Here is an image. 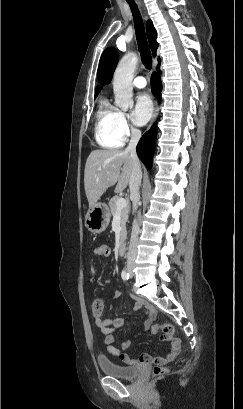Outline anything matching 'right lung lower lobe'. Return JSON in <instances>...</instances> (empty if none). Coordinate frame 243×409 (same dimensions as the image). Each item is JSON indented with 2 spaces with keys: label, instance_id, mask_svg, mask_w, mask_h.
I'll list each match as a JSON object with an SVG mask.
<instances>
[{
  "label": "right lung lower lobe",
  "instance_id": "98d812e1",
  "mask_svg": "<svg viewBox=\"0 0 243 409\" xmlns=\"http://www.w3.org/2000/svg\"><path fill=\"white\" fill-rule=\"evenodd\" d=\"M159 70V65L157 67ZM151 86H152V92L154 95L157 97H160L161 95V79L158 73L154 72L151 77ZM156 126H152V128L147 131L140 139L138 145H137V154L141 161L144 163V165L148 168L151 169L152 167V160H153V154L155 150V142H156Z\"/></svg>",
  "mask_w": 243,
  "mask_h": 409
}]
</instances>
